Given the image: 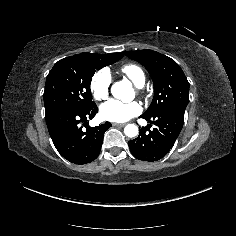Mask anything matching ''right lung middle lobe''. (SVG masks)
Wrapping results in <instances>:
<instances>
[{"mask_svg": "<svg viewBox=\"0 0 236 236\" xmlns=\"http://www.w3.org/2000/svg\"><path fill=\"white\" fill-rule=\"evenodd\" d=\"M123 53H81L59 60L49 72L43 94L45 113L57 109L83 111L95 105L90 91L95 71L113 64Z\"/></svg>", "mask_w": 236, "mask_h": 236, "instance_id": "right-lung-middle-lobe-1", "label": "right lung middle lobe"}]
</instances>
